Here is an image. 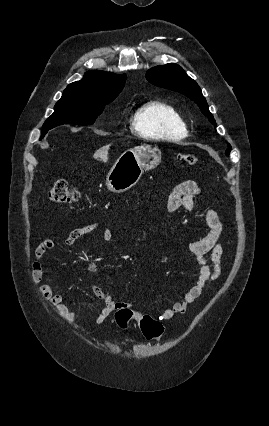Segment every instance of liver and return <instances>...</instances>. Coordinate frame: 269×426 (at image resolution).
Instances as JSON below:
<instances>
[{"label": "liver", "mask_w": 269, "mask_h": 426, "mask_svg": "<svg viewBox=\"0 0 269 426\" xmlns=\"http://www.w3.org/2000/svg\"><path fill=\"white\" fill-rule=\"evenodd\" d=\"M108 150H109V146H105L102 147L100 149H98L95 154H94V158H100V160L104 163H106L108 161Z\"/></svg>", "instance_id": "6515ba94"}]
</instances>
